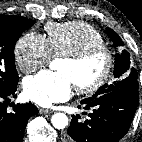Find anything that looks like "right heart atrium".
<instances>
[{"instance_id":"1","label":"right heart atrium","mask_w":142,"mask_h":142,"mask_svg":"<svg viewBox=\"0 0 142 142\" xmlns=\"http://www.w3.org/2000/svg\"><path fill=\"white\" fill-rule=\"evenodd\" d=\"M14 58L22 72L30 73L49 63L51 53L46 39L31 31L22 35L16 42Z\"/></svg>"}]
</instances>
